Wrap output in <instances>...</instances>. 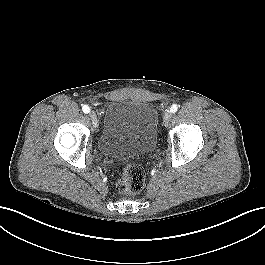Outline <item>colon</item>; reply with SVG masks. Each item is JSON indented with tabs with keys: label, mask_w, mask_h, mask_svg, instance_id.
<instances>
[{
	"label": "colon",
	"mask_w": 265,
	"mask_h": 265,
	"mask_svg": "<svg viewBox=\"0 0 265 265\" xmlns=\"http://www.w3.org/2000/svg\"><path fill=\"white\" fill-rule=\"evenodd\" d=\"M145 183V170L136 164H129L124 167L121 176L116 182V189L124 195L139 193Z\"/></svg>",
	"instance_id": "5ec220e1"
}]
</instances>
